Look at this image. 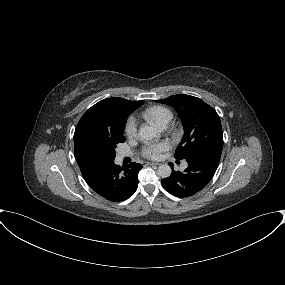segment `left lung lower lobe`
Returning a JSON list of instances; mask_svg holds the SVG:
<instances>
[{
	"label": "left lung lower lobe",
	"instance_id": "0a47b994",
	"mask_svg": "<svg viewBox=\"0 0 285 285\" xmlns=\"http://www.w3.org/2000/svg\"><path fill=\"white\" fill-rule=\"evenodd\" d=\"M221 150H207L186 158L188 167L184 172L172 171L161 180L165 190L177 197H188L202 190L213 178L218 167ZM172 167V164H170Z\"/></svg>",
	"mask_w": 285,
	"mask_h": 285
}]
</instances>
